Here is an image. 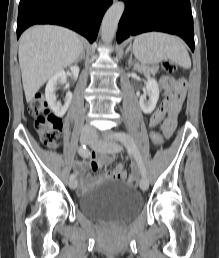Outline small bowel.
<instances>
[{
    "instance_id": "c3829d8e",
    "label": "small bowel",
    "mask_w": 219,
    "mask_h": 258,
    "mask_svg": "<svg viewBox=\"0 0 219 258\" xmlns=\"http://www.w3.org/2000/svg\"><path fill=\"white\" fill-rule=\"evenodd\" d=\"M161 82L165 87L163 94H166V96H164V100L160 101V104H156L155 112H152L151 116L167 118H147V123H150L151 130L161 127L164 136L168 138L176 127L177 116L184 99L186 84L183 79H175L167 76L163 77ZM113 160H116L114 156L101 152L93 153L87 161L78 163L76 175L80 180V192L85 193L89 188L91 180L85 177L88 169L98 171L103 163H110ZM113 170L106 177L113 176V179H128V171H125V167H114Z\"/></svg>"
}]
</instances>
